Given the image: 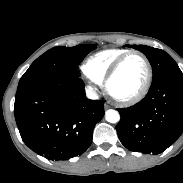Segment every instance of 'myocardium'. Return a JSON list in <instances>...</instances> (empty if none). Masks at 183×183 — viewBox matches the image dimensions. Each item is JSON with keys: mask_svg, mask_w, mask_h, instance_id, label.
<instances>
[{"mask_svg": "<svg viewBox=\"0 0 183 183\" xmlns=\"http://www.w3.org/2000/svg\"><path fill=\"white\" fill-rule=\"evenodd\" d=\"M131 55H138L144 62L145 69H146V78L143 86L136 94L126 98H119L113 95L114 99L117 102H119L121 105H133L141 101L148 94L152 84L153 72H152V67L148 58L138 50H128L127 52L122 54L119 58H117L115 62L108 69L105 75L106 89H108L111 79L114 77V75L116 74V72L118 71L122 63Z\"/></svg>", "mask_w": 183, "mask_h": 183, "instance_id": "f54148a6", "label": "myocardium"}]
</instances>
